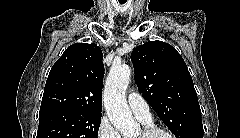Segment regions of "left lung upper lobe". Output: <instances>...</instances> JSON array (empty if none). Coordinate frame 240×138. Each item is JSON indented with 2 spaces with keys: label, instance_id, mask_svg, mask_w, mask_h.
Wrapping results in <instances>:
<instances>
[{
  "label": "left lung upper lobe",
  "instance_id": "1",
  "mask_svg": "<svg viewBox=\"0 0 240 138\" xmlns=\"http://www.w3.org/2000/svg\"><path fill=\"white\" fill-rule=\"evenodd\" d=\"M137 87L177 138L203 135L201 109L192 77L170 44L150 41L131 53Z\"/></svg>",
  "mask_w": 240,
  "mask_h": 138
}]
</instances>
